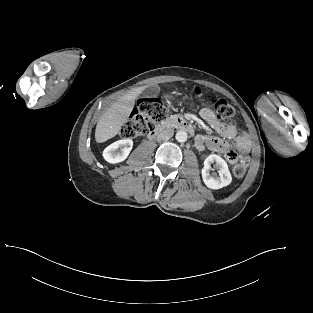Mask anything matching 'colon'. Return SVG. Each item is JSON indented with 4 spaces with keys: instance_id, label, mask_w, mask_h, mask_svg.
Returning <instances> with one entry per match:
<instances>
[{
    "instance_id": "obj_1",
    "label": "colon",
    "mask_w": 313,
    "mask_h": 313,
    "mask_svg": "<svg viewBox=\"0 0 313 313\" xmlns=\"http://www.w3.org/2000/svg\"><path fill=\"white\" fill-rule=\"evenodd\" d=\"M188 95L200 98L203 91L199 87H194L188 92ZM210 103L214 107L217 117L229 119L234 115V108L225 99L218 96H212ZM168 115L167 106L156 98H143L137 102L130 118L120 129L122 138H135L145 135L155 130L159 123L164 121ZM226 159L233 164V174L235 177H242L247 168V156L238 155L235 151H230L225 155Z\"/></svg>"
}]
</instances>
